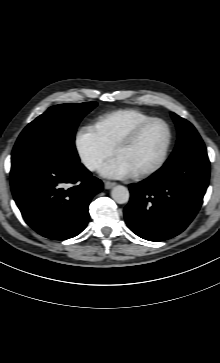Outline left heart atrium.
Listing matches in <instances>:
<instances>
[{"label": "left heart atrium", "instance_id": "obj_1", "mask_svg": "<svg viewBox=\"0 0 220 363\" xmlns=\"http://www.w3.org/2000/svg\"><path fill=\"white\" fill-rule=\"evenodd\" d=\"M100 173L107 178L121 179L130 177L135 172L123 158L116 156L102 165Z\"/></svg>", "mask_w": 220, "mask_h": 363}]
</instances>
